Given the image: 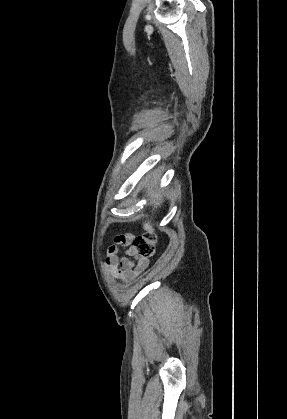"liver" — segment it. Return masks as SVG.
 Returning <instances> with one entry per match:
<instances>
[{
    "label": "liver",
    "mask_w": 287,
    "mask_h": 419,
    "mask_svg": "<svg viewBox=\"0 0 287 419\" xmlns=\"http://www.w3.org/2000/svg\"><path fill=\"white\" fill-rule=\"evenodd\" d=\"M148 179L149 177L145 179L142 186L147 189L146 195L151 198L149 204L153 206V210H154V209H157V207H160L164 200H163V195L161 194V192L160 191L156 192V186H157L159 177H153L150 180ZM143 228L150 234H153L155 231L153 228V225L149 221L143 224Z\"/></svg>",
    "instance_id": "6515ba94"
}]
</instances>
